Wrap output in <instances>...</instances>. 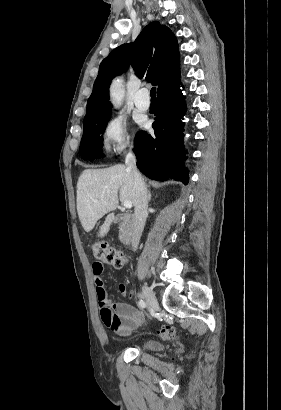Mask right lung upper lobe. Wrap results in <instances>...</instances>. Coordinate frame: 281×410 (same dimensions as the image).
I'll return each mask as SVG.
<instances>
[{
  "label": "right lung upper lobe",
  "instance_id": "1",
  "mask_svg": "<svg viewBox=\"0 0 281 410\" xmlns=\"http://www.w3.org/2000/svg\"><path fill=\"white\" fill-rule=\"evenodd\" d=\"M131 64L139 78L157 85V94L179 83V51L172 31L158 21L149 23L137 39L115 48L100 64L88 99L84 123L111 113L109 84Z\"/></svg>",
  "mask_w": 281,
  "mask_h": 410
}]
</instances>
